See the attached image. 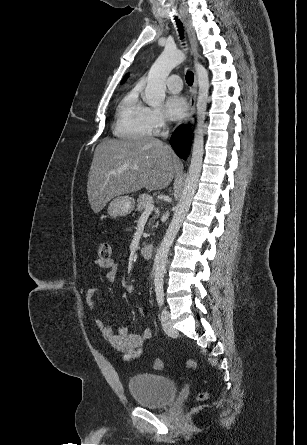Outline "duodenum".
Instances as JSON below:
<instances>
[{
	"mask_svg": "<svg viewBox=\"0 0 307 445\" xmlns=\"http://www.w3.org/2000/svg\"><path fill=\"white\" fill-rule=\"evenodd\" d=\"M154 246L152 243H146L141 247V254L144 258H150L153 254Z\"/></svg>",
	"mask_w": 307,
	"mask_h": 445,
	"instance_id": "1",
	"label": "duodenum"
}]
</instances>
